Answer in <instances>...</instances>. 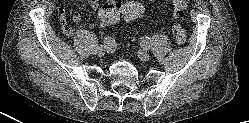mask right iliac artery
Wrapping results in <instances>:
<instances>
[{
  "instance_id": "1",
  "label": "right iliac artery",
  "mask_w": 249,
  "mask_h": 123,
  "mask_svg": "<svg viewBox=\"0 0 249 123\" xmlns=\"http://www.w3.org/2000/svg\"><path fill=\"white\" fill-rule=\"evenodd\" d=\"M112 44V39L110 37L104 38V45L109 46Z\"/></svg>"
}]
</instances>
